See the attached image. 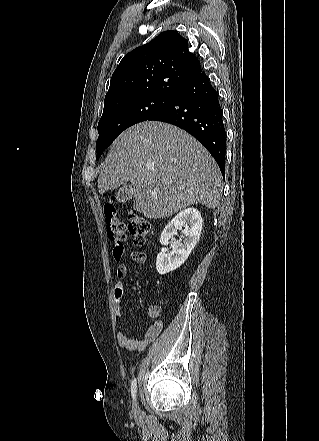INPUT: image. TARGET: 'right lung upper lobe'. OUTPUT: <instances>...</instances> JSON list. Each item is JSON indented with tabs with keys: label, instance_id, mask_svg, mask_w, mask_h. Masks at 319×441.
Masks as SVG:
<instances>
[{
	"label": "right lung upper lobe",
	"instance_id": "obj_1",
	"mask_svg": "<svg viewBox=\"0 0 319 441\" xmlns=\"http://www.w3.org/2000/svg\"><path fill=\"white\" fill-rule=\"evenodd\" d=\"M201 72L188 41L177 31H165L124 56L111 77L104 110L141 97L171 99Z\"/></svg>",
	"mask_w": 319,
	"mask_h": 441
}]
</instances>
